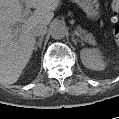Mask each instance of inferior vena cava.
<instances>
[{"instance_id": "602c4592", "label": "inferior vena cava", "mask_w": 119, "mask_h": 119, "mask_svg": "<svg viewBox=\"0 0 119 119\" xmlns=\"http://www.w3.org/2000/svg\"><path fill=\"white\" fill-rule=\"evenodd\" d=\"M46 32H47V25L39 24V25L35 26V28H34V33L37 36H42V35L46 34Z\"/></svg>"}]
</instances>
